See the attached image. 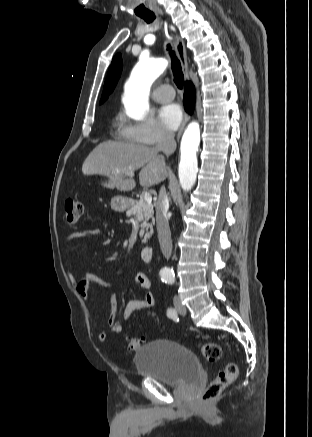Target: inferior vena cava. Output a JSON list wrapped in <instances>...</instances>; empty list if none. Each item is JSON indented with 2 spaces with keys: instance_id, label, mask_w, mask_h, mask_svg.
Masks as SVG:
<instances>
[{
  "instance_id": "inferior-vena-cava-1",
  "label": "inferior vena cava",
  "mask_w": 312,
  "mask_h": 437,
  "mask_svg": "<svg viewBox=\"0 0 312 437\" xmlns=\"http://www.w3.org/2000/svg\"><path fill=\"white\" fill-rule=\"evenodd\" d=\"M176 149V142L174 134L170 131L163 130L161 132L160 140L155 147L157 152H163L170 155ZM162 162L165 164L164 157L161 156ZM169 208V201L164 186L161 187L158 201L156 204V227L161 251L166 259H169L172 253L171 231L168 223L167 211Z\"/></svg>"
}]
</instances>
